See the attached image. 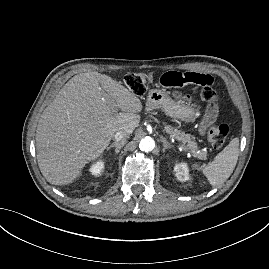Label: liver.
I'll list each match as a JSON object with an SVG mask.
<instances>
[{
    "instance_id": "6515ba94",
    "label": "liver",
    "mask_w": 269,
    "mask_h": 269,
    "mask_svg": "<svg viewBox=\"0 0 269 269\" xmlns=\"http://www.w3.org/2000/svg\"><path fill=\"white\" fill-rule=\"evenodd\" d=\"M142 109L137 95L110 76L95 71L75 75L38 122L41 173L54 185L73 182L87 163L99 158L115 132L130 134L138 127Z\"/></svg>"
}]
</instances>
